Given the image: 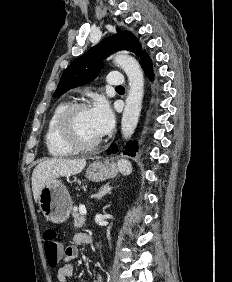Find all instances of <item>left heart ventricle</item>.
Masks as SVG:
<instances>
[{"label":"left heart ventricle","instance_id":"obj_1","mask_svg":"<svg viewBox=\"0 0 232 282\" xmlns=\"http://www.w3.org/2000/svg\"><path fill=\"white\" fill-rule=\"evenodd\" d=\"M74 127L78 138L83 142H92L101 137L93 123L91 109L77 113Z\"/></svg>","mask_w":232,"mask_h":282}]
</instances>
